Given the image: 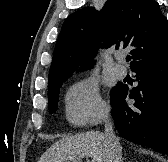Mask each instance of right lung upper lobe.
Listing matches in <instances>:
<instances>
[{"mask_svg":"<svg viewBox=\"0 0 168 162\" xmlns=\"http://www.w3.org/2000/svg\"><path fill=\"white\" fill-rule=\"evenodd\" d=\"M106 48H133L131 67L168 47L167 20L152 0H108L100 12L85 7L67 17L57 40L49 84L66 80Z\"/></svg>","mask_w":168,"mask_h":162,"instance_id":"obj_1","label":"right lung upper lobe"}]
</instances>
